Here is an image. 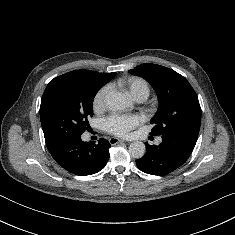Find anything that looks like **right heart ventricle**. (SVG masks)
<instances>
[{
  "instance_id": "e07e8e85",
  "label": "right heart ventricle",
  "mask_w": 235,
  "mask_h": 235,
  "mask_svg": "<svg viewBox=\"0 0 235 235\" xmlns=\"http://www.w3.org/2000/svg\"><path fill=\"white\" fill-rule=\"evenodd\" d=\"M116 85L125 88L135 99L140 97L147 98L150 93L148 83L140 77H129L116 82Z\"/></svg>"
}]
</instances>
